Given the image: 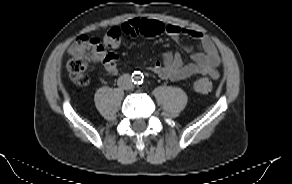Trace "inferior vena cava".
<instances>
[{"instance_id": "1", "label": "inferior vena cava", "mask_w": 292, "mask_h": 184, "mask_svg": "<svg viewBox=\"0 0 292 184\" xmlns=\"http://www.w3.org/2000/svg\"><path fill=\"white\" fill-rule=\"evenodd\" d=\"M117 84L124 90H130L133 87V83L129 74H124L118 78Z\"/></svg>"}]
</instances>
